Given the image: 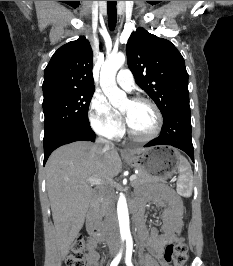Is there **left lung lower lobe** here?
<instances>
[{
  "instance_id": "left-lung-lower-lobe-1",
  "label": "left lung lower lobe",
  "mask_w": 233,
  "mask_h": 266,
  "mask_svg": "<svg viewBox=\"0 0 233 266\" xmlns=\"http://www.w3.org/2000/svg\"><path fill=\"white\" fill-rule=\"evenodd\" d=\"M163 119L164 124L160 136L151 140L145 147L171 145L186 152L194 161L189 102H183L172 108Z\"/></svg>"
}]
</instances>
